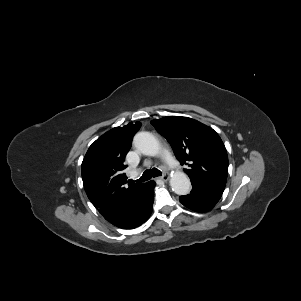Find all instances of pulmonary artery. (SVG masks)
I'll return each mask as SVG.
<instances>
[{
    "label": "pulmonary artery",
    "mask_w": 301,
    "mask_h": 301,
    "mask_svg": "<svg viewBox=\"0 0 301 301\" xmlns=\"http://www.w3.org/2000/svg\"><path fill=\"white\" fill-rule=\"evenodd\" d=\"M163 157L170 168L172 169L178 168V163L176 162V160L173 158L172 154L168 150L166 149L163 150Z\"/></svg>",
    "instance_id": "e3ab8cb5"
}]
</instances>
